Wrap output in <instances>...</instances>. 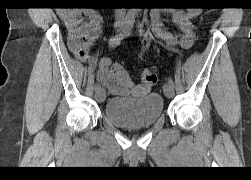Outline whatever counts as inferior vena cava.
Masks as SVG:
<instances>
[{
	"label": "inferior vena cava",
	"mask_w": 251,
	"mask_h": 180,
	"mask_svg": "<svg viewBox=\"0 0 251 180\" xmlns=\"http://www.w3.org/2000/svg\"><path fill=\"white\" fill-rule=\"evenodd\" d=\"M124 14H125V13H124L122 10H120V9H117V10H116V17H117V18L123 17Z\"/></svg>",
	"instance_id": "obj_1"
}]
</instances>
